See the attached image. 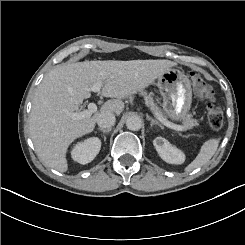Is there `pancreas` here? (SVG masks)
<instances>
[{"mask_svg": "<svg viewBox=\"0 0 245 245\" xmlns=\"http://www.w3.org/2000/svg\"><path fill=\"white\" fill-rule=\"evenodd\" d=\"M140 95L143 96L145 103L150 107L151 110L159 113L163 118L168 119V116L164 113L163 109L161 108L160 100L154 99V93H148L147 90L139 89ZM176 118H180V125L186 129L191 128L192 126L198 125L197 121L194 119H191L189 114L182 115L179 117L177 115Z\"/></svg>", "mask_w": 245, "mask_h": 245, "instance_id": "cf45deb5", "label": "pancreas"}]
</instances>
